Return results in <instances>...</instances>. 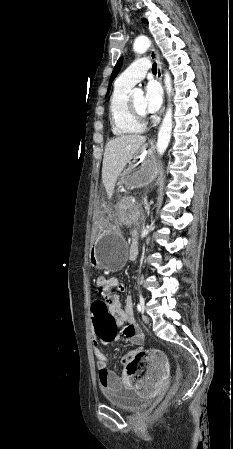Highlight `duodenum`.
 <instances>
[{
    "label": "duodenum",
    "mask_w": 233,
    "mask_h": 449,
    "mask_svg": "<svg viewBox=\"0 0 233 449\" xmlns=\"http://www.w3.org/2000/svg\"><path fill=\"white\" fill-rule=\"evenodd\" d=\"M135 251H136V245H135V243H133L132 246H131L130 252H131L132 254H134Z\"/></svg>",
    "instance_id": "1"
}]
</instances>
